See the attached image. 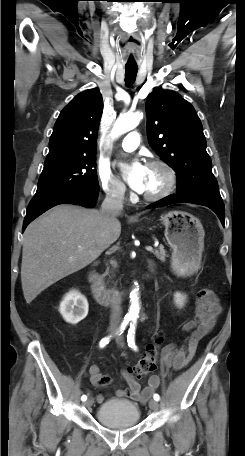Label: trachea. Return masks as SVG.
I'll return each instance as SVG.
<instances>
[{
    "label": "trachea",
    "mask_w": 245,
    "mask_h": 456,
    "mask_svg": "<svg viewBox=\"0 0 245 456\" xmlns=\"http://www.w3.org/2000/svg\"><path fill=\"white\" fill-rule=\"evenodd\" d=\"M137 72H138L137 66H126L125 67V83L128 87H130L135 82Z\"/></svg>",
    "instance_id": "1"
}]
</instances>
